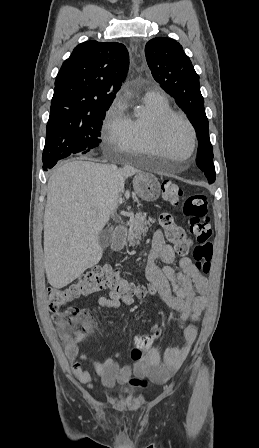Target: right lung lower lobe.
<instances>
[{"instance_id": "right-lung-lower-lobe-1", "label": "right lung lower lobe", "mask_w": 259, "mask_h": 448, "mask_svg": "<svg viewBox=\"0 0 259 448\" xmlns=\"http://www.w3.org/2000/svg\"><path fill=\"white\" fill-rule=\"evenodd\" d=\"M58 161L48 162L43 164V170L51 169Z\"/></svg>"}]
</instances>
